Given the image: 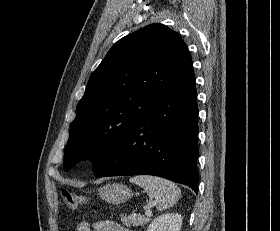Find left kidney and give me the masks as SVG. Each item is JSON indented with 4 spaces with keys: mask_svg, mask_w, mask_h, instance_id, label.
I'll return each instance as SVG.
<instances>
[{
    "mask_svg": "<svg viewBox=\"0 0 280 231\" xmlns=\"http://www.w3.org/2000/svg\"><path fill=\"white\" fill-rule=\"evenodd\" d=\"M182 219L180 213H163L149 223L146 231H180Z\"/></svg>",
    "mask_w": 280,
    "mask_h": 231,
    "instance_id": "left-kidney-1",
    "label": "left kidney"
}]
</instances>
